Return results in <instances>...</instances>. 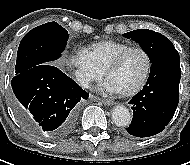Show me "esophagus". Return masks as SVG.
<instances>
[{
	"label": "esophagus",
	"instance_id": "34e87169",
	"mask_svg": "<svg viewBox=\"0 0 190 165\" xmlns=\"http://www.w3.org/2000/svg\"><path fill=\"white\" fill-rule=\"evenodd\" d=\"M101 101H102V103H103L104 105H108V106L115 104L114 101L109 100V99H101Z\"/></svg>",
	"mask_w": 190,
	"mask_h": 165
}]
</instances>
